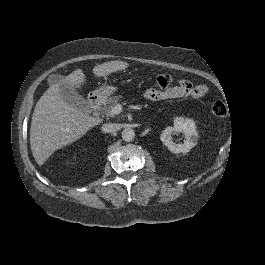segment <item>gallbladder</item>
<instances>
[{"label":"gallbladder","instance_id":"gallbladder-1","mask_svg":"<svg viewBox=\"0 0 265 265\" xmlns=\"http://www.w3.org/2000/svg\"><path fill=\"white\" fill-rule=\"evenodd\" d=\"M64 79L63 76L59 74H51L48 77V83L50 86L62 82ZM60 95L62 99L69 103L70 105L74 106L79 111L90 113L91 112V106L88 103V101L83 98L75 88H73L70 84H63L62 90L60 91Z\"/></svg>","mask_w":265,"mask_h":265}]
</instances>
